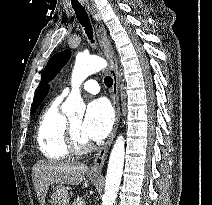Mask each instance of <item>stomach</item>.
Here are the masks:
<instances>
[{
  "mask_svg": "<svg viewBox=\"0 0 212 205\" xmlns=\"http://www.w3.org/2000/svg\"><path fill=\"white\" fill-rule=\"evenodd\" d=\"M95 179V177H91ZM51 205H69L67 188L63 185L56 186L50 196Z\"/></svg>",
  "mask_w": 212,
  "mask_h": 205,
  "instance_id": "obj_1",
  "label": "stomach"
}]
</instances>
